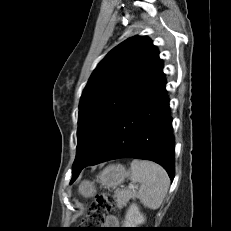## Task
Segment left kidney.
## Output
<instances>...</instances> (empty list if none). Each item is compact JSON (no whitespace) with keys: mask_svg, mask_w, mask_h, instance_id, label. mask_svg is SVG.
I'll return each instance as SVG.
<instances>
[{"mask_svg":"<svg viewBox=\"0 0 231 231\" xmlns=\"http://www.w3.org/2000/svg\"><path fill=\"white\" fill-rule=\"evenodd\" d=\"M145 220L146 219L144 215L141 214L137 204L133 203L129 206L126 212L123 226L125 228H136L138 225L143 224Z\"/></svg>","mask_w":231,"mask_h":231,"instance_id":"obj_1","label":"left kidney"}]
</instances>
